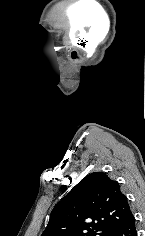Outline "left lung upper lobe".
<instances>
[{
  "label": "left lung upper lobe",
  "instance_id": "5c2ea615",
  "mask_svg": "<svg viewBox=\"0 0 145 236\" xmlns=\"http://www.w3.org/2000/svg\"><path fill=\"white\" fill-rule=\"evenodd\" d=\"M131 214L119 183L94 172L56 204L41 236H113Z\"/></svg>",
  "mask_w": 145,
  "mask_h": 236
}]
</instances>
